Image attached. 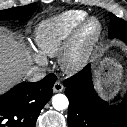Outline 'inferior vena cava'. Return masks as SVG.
Instances as JSON below:
<instances>
[{
  "mask_svg": "<svg viewBox=\"0 0 127 127\" xmlns=\"http://www.w3.org/2000/svg\"><path fill=\"white\" fill-rule=\"evenodd\" d=\"M46 76V71L42 67L33 66L26 72V78L31 82L42 80Z\"/></svg>",
  "mask_w": 127,
  "mask_h": 127,
  "instance_id": "602c4592",
  "label": "inferior vena cava"
}]
</instances>
